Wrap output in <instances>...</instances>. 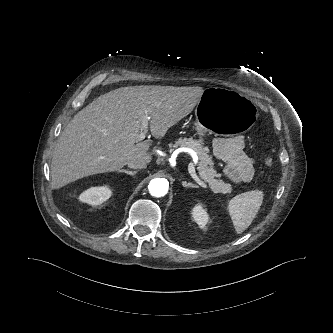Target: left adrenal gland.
<instances>
[{
  "label": "left adrenal gland",
  "instance_id": "left-adrenal-gland-1",
  "mask_svg": "<svg viewBox=\"0 0 333 333\" xmlns=\"http://www.w3.org/2000/svg\"><path fill=\"white\" fill-rule=\"evenodd\" d=\"M182 185H183V187H185V188H199V186L198 185H195V184H193V183H190V182H187V181H182Z\"/></svg>",
  "mask_w": 333,
  "mask_h": 333
}]
</instances>
